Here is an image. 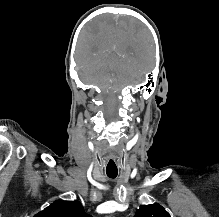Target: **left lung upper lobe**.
Segmentation results:
<instances>
[{
    "label": "left lung upper lobe",
    "instance_id": "left-lung-upper-lobe-1",
    "mask_svg": "<svg viewBox=\"0 0 219 217\" xmlns=\"http://www.w3.org/2000/svg\"><path fill=\"white\" fill-rule=\"evenodd\" d=\"M135 217H170V214L159 204L142 205Z\"/></svg>",
    "mask_w": 219,
    "mask_h": 217
}]
</instances>
